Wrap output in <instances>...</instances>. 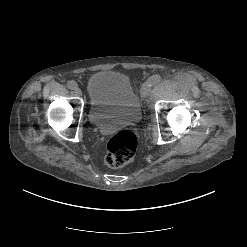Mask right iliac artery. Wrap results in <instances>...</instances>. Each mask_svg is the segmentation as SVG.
<instances>
[{
  "label": "right iliac artery",
  "mask_w": 247,
  "mask_h": 247,
  "mask_svg": "<svg viewBox=\"0 0 247 247\" xmlns=\"http://www.w3.org/2000/svg\"><path fill=\"white\" fill-rule=\"evenodd\" d=\"M77 86V83L73 80L67 82V87L71 90H74L75 88H77Z\"/></svg>",
  "instance_id": "obj_1"
}]
</instances>
